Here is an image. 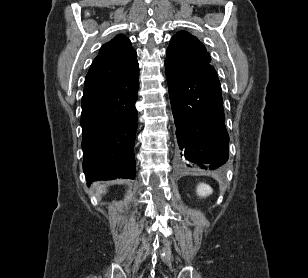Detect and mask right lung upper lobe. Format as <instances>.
<instances>
[{"mask_svg":"<svg viewBox=\"0 0 308 278\" xmlns=\"http://www.w3.org/2000/svg\"><path fill=\"white\" fill-rule=\"evenodd\" d=\"M136 56L122 34L104 44L86 75L83 94L115 90L132 82L139 74Z\"/></svg>","mask_w":308,"mask_h":278,"instance_id":"obj_1","label":"right lung upper lobe"}]
</instances>
